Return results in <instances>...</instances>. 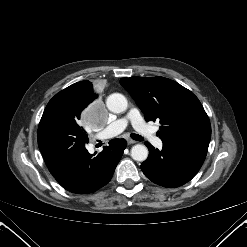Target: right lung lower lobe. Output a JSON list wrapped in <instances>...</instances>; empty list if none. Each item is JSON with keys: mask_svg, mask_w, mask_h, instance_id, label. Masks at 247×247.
<instances>
[{"mask_svg": "<svg viewBox=\"0 0 247 247\" xmlns=\"http://www.w3.org/2000/svg\"><path fill=\"white\" fill-rule=\"evenodd\" d=\"M37 139L51 174L76 194L92 193L106 185L127 145L125 139H113L98 155H91L85 148V131L76 122L50 114L42 115Z\"/></svg>", "mask_w": 247, "mask_h": 247, "instance_id": "right-lung-lower-lobe-1", "label": "right lung lower lobe"}]
</instances>
